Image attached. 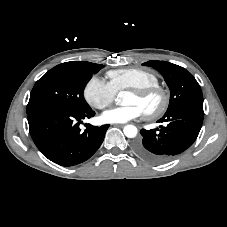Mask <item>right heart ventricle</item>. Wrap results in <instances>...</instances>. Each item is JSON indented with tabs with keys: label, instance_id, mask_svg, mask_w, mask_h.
Wrapping results in <instances>:
<instances>
[{
	"label": "right heart ventricle",
	"instance_id": "e07e8e85",
	"mask_svg": "<svg viewBox=\"0 0 227 227\" xmlns=\"http://www.w3.org/2000/svg\"><path fill=\"white\" fill-rule=\"evenodd\" d=\"M106 76L108 84L115 93L125 89L158 85L159 83L158 77L154 73L140 68L110 70Z\"/></svg>",
	"mask_w": 227,
	"mask_h": 227
}]
</instances>
